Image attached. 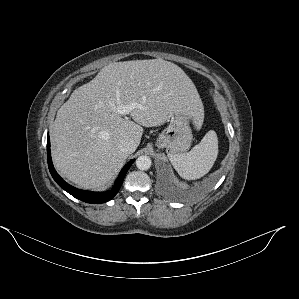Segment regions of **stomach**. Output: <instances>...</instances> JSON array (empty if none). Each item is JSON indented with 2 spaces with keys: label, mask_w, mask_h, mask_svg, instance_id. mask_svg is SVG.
I'll return each mask as SVG.
<instances>
[{
  "label": "stomach",
  "mask_w": 299,
  "mask_h": 299,
  "mask_svg": "<svg viewBox=\"0 0 299 299\" xmlns=\"http://www.w3.org/2000/svg\"><path fill=\"white\" fill-rule=\"evenodd\" d=\"M193 116L188 109L176 112L170 119L167 128L158 136L156 146L166 148L169 154L185 153L193 139L190 122Z\"/></svg>",
  "instance_id": "obj_1"
}]
</instances>
